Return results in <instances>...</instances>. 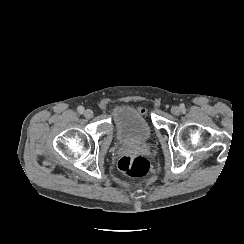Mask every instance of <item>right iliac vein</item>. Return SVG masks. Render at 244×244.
Instances as JSON below:
<instances>
[{
    "label": "right iliac vein",
    "mask_w": 244,
    "mask_h": 244,
    "mask_svg": "<svg viewBox=\"0 0 244 244\" xmlns=\"http://www.w3.org/2000/svg\"><path fill=\"white\" fill-rule=\"evenodd\" d=\"M84 116H85V118H87V119L91 118V117L93 116V111H92L91 109H86V110L84 111Z\"/></svg>",
    "instance_id": "obj_1"
}]
</instances>
